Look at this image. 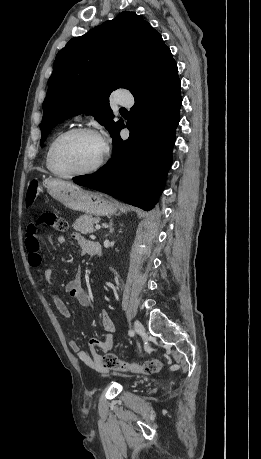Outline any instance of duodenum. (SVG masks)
I'll return each instance as SVG.
<instances>
[{
	"label": "duodenum",
	"instance_id": "1",
	"mask_svg": "<svg viewBox=\"0 0 261 459\" xmlns=\"http://www.w3.org/2000/svg\"><path fill=\"white\" fill-rule=\"evenodd\" d=\"M91 253L92 255L100 257L102 255V247L100 243L98 242H93L92 247H91Z\"/></svg>",
	"mask_w": 261,
	"mask_h": 459
}]
</instances>
